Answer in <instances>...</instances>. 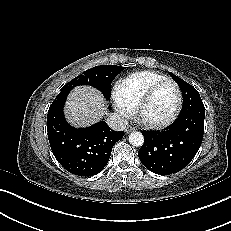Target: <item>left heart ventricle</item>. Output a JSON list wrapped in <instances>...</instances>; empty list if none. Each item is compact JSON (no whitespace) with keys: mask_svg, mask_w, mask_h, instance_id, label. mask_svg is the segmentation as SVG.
Returning <instances> with one entry per match:
<instances>
[{"mask_svg":"<svg viewBox=\"0 0 231 231\" xmlns=\"http://www.w3.org/2000/svg\"><path fill=\"white\" fill-rule=\"evenodd\" d=\"M176 101L175 87L170 83L163 84L150 97L142 111V115L152 121L163 120L172 113Z\"/></svg>","mask_w":231,"mask_h":231,"instance_id":"obj_1","label":"left heart ventricle"}]
</instances>
